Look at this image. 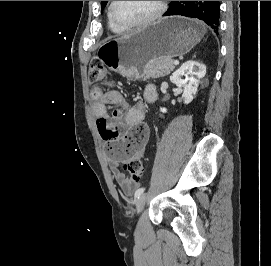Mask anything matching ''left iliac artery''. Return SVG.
<instances>
[{"mask_svg": "<svg viewBox=\"0 0 271 266\" xmlns=\"http://www.w3.org/2000/svg\"><path fill=\"white\" fill-rule=\"evenodd\" d=\"M145 191V188H139L136 192H135V197H140Z\"/></svg>", "mask_w": 271, "mask_h": 266, "instance_id": "1", "label": "left iliac artery"}]
</instances>
